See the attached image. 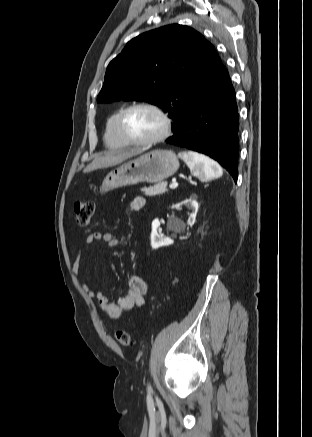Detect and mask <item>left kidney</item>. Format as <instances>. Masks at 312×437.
I'll use <instances>...</instances> for the list:
<instances>
[{"instance_id": "5707ae66", "label": "left kidney", "mask_w": 312, "mask_h": 437, "mask_svg": "<svg viewBox=\"0 0 312 437\" xmlns=\"http://www.w3.org/2000/svg\"><path fill=\"white\" fill-rule=\"evenodd\" d=\"M185 205L191 209V213L188 218V225L193 226L196 220V214L198 211V202L196 201V197L192 195L190 198L182 201L177 206L180 207ZM160 227L159 219H154L152 222V231H151V246L153 249H157L159 247L168 246L173 244V240L169 237H163L158 233V229ZM168 229L173 230L175 232H182L185 228V224L176 217H170L167 224Z\"/></svg>"}]
</instances>
